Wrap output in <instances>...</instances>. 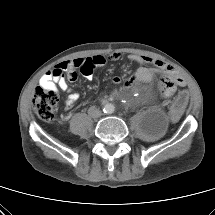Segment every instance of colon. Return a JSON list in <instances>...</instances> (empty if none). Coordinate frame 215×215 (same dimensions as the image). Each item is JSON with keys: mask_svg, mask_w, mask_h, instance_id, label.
Returning <instances> with one entry per match:
<instances>
[{"mask_svg": "<svg viewBox=\"0 0 215 215\" xmlns=\"http://www.w3.org/2000/svg\"><path fill=\"white\" fill-rule=\"evenodd\" d=\"M178 77L173 75L163 80L161 91L172 94L176 87ZM57 93L50 89L39 87L36 89L33 98V109L36 115L43 121H51L54 118V111L57 105ZM187 102V94L182 92L174 101L171 108V117L177 120L182 115L183 109Z\"/></svg>", "mask_w": 215, "mask_h": 215, "instance_id": "1", "label": "colon"}]
</instances>
